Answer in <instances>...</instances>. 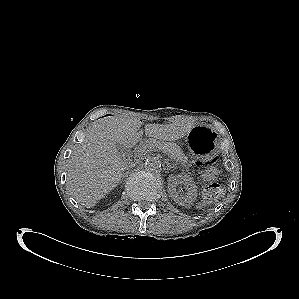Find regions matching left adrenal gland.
Segmentation results:
<instances>
[{
    "label": "left adrenal gland",
    "instance_id": "obj_1",
    "mask_svg": "<svg viewBox=\"0 0 299 299\" xmlns=\"http://www.w3.org/2000/svg\"><path fill=\"white\" fill-rule=\"evenodd\" d=\"M167 169H168V170H171V169L174 170V169H175V166H174V165L172 166V165H170V164L168 163V164H167Z\"/></svg>",
    "mask_w": 299,
    "mask_h": 299
}]
</instances>
